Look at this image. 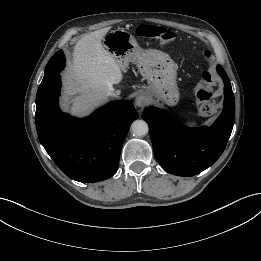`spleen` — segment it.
I'll return each mask as SVG.
<instances>
[{
    "label": "spleen",
    "mask_w": 261,
    "mask_h": 261,
    "mask_svg": "<svg viewBox=\"0 0 261 261\" xmlns=\"http://www.w3.org/2000/svg\"><path fill=\"white\" fill-rule=\"evenodd\" d=\"M186 124L189 125V126H195L196 125L195 122H187Z\"/></svg>",
    "instance_id": "obj_1"
}]
</instances>
